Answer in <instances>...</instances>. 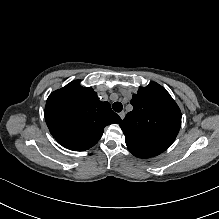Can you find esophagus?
Segmentation results:
<instances>
[{
  "instance_id": "34e87169",
  "label": "esophagus",
  "mask_w": 219,
  "mask_h": 219,
  "mask_svg": "<svg viewBox=\"0 0 219 219\" xmlns=\"http://www.w3.org/2000/svg\"><path fill=\"white\" fill-rule=\"evenodd\" d=\"M119 116H120V118L123 120L124 117H125V113H124V112H121V113H119Z\"/></svg>"
}]
</instances>
